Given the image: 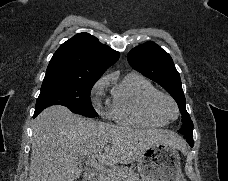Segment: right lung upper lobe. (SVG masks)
Returning a JSON list of instances; mask_svg holds the SVG:
<instances>
[{
	"mask_svg": "<svg viewBox=\"0 0 228 181\" xmlns=\"http://www.w3.org/2000/svg\"><path fill=\"white\" fill-rule=\"evenodd\" d=\"M120 54L88 34L79 33L63 43L54 53L45 78L67 81L98 80Z\"/></svg>",
	"mask_w": 228,
	"mask_h": 181,
	"instance_id": "right-lung-upper-lobe-1",
	"label": "right lung upper lobe"
}]
</instances>
